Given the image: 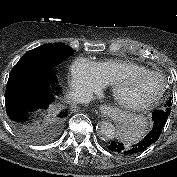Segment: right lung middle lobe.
<instances>
[{"instance_id":"1","label":"right lung middle lobe","mask_w":177,"mask_h":177,"mask_svg":"<svg viewBox=\"0 0 177 177\" xmlns=\"http://www.w3.org/2000/svg\"><path fill=\"white\" fill-rule=\"evenodd\" d=\"M74 52L72 48L62 44H44L28 51L22 58H33L55 66L66 57L71 56ZM56 120L57 126H60L64 119Z\"/></svg>"}]
</instances>
